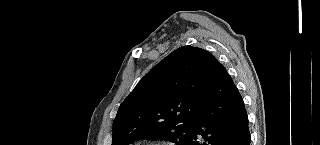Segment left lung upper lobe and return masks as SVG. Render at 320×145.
Returning <instances> with one entry per match:
<instances>
[{
	"mask_svg": "<svg viewBox=\"0 0 320 145\" xmlns=\"http://www.w3.org/2000/svg\"><path fill=\"white\" fill-rule=\"evenodd\" d=\"M219 62L208 51L182 46L150 70L118 109L112 145L153 138L187 145L204 107L205 83Z\"/></svg>",
	"mask_w": 320,
	"mask_h": 145,
	"instance_id": "obj_1",
	"label": "left lung upper lobe"
}]
</instances>
